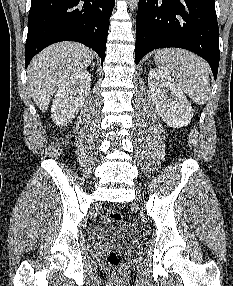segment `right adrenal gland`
<instances>
[{"label":"right adrenal gland","instance_id":"2a0ac1e0","mask_svg":"<svg viewBox=\"0 0 233 286\" xmlns=\"http://www.w3.org/2000/svg\"><path fill=\"white\" fill-rule=\"evenodd\" d=\"M91 67H92V70H94L95 63H92V64H91Z\"/></svg>","mask_w":233,"mask_h":286}]
</instances>
